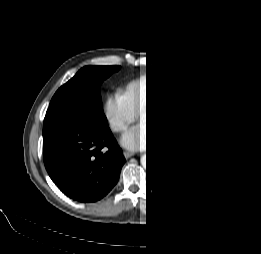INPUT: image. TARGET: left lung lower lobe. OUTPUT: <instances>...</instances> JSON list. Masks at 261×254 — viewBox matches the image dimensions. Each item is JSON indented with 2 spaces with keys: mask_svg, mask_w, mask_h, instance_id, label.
Segmentation results:
<instances>
[{
  "mask_svg": "<svg viewBox=\"0 0 261 254\" xmlns=\"http://www.w3.org/2000/svg\"><path fill=\"white\" fill-rule=\"evenodd\" d=\"M152 184H154L157 188L159 187L158 184H157V181H155L153 179H152Z\"/></svg>",
  "mask_w": 261,
  "mask_h": 254,
  "instance_id": "0a47b994",
  "label": "left lung lower lobe"
}]
</instances>
